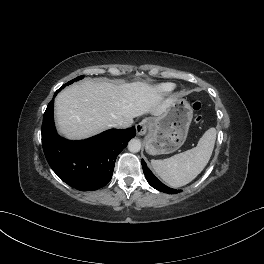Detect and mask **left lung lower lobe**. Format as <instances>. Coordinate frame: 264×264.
<instances>
[{
  "label": "left lung lower lobe",
  "mask_w": 264,
  "mask_h": 264,
  "mask_svg": "<svg viewBox=\"0 0 264 264\" xmlns=\"http://www.w3.org/2000/svg\"><path fill=\"white\" fill-rule=\"evenodd\" d=\"M142 168H143V172L145 174V177L148 181V183L155 189L164 192V193H168V194H176L178 192H180V190H175L172 188L167 187L166 185H164L163 183H161L155 176L154 174L150 171V169L147 167L146 163L144 162V160L142 159Z\"/></svg>",
  "instance_id": "1"
}]
</instances>
